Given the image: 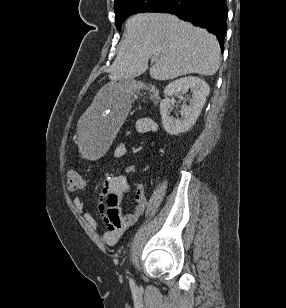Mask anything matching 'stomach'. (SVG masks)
Instances as JSON below:
<instances>
[{
    "label": "stomach",
    "instance_id": "obj_1",
    "mask_svg": "<svg viewBox=\"0 0 286 308\" xmlns=\"http://www.w3.org/2000/svg\"><path fill=\"white\" fill-rule=\"evenodd\" d=\"M132 79H119L103 89H97L92 97V109H84V113L76 122V149H81L83 161H98V156H104V149L110 148L112 137L116 136L114 129L123 124V117L130 108V92L133 88Z\"/></svg>",
    "mask_w": 286,
    "mask_h": 308
}]
</instances>
